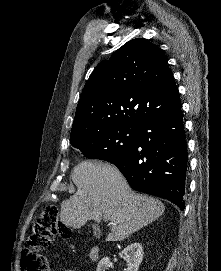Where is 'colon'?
<instances>
[{
  "mask_svg": "<svg viewBox=\"0 0 221 271\" xmlns=\"http://www.w3.org/2000/svg\"><path fill=\"white\" fill-rule=\"evenodd\" d=\"M56 234L63 237L71 235L69 227L62 225L56 205H46L34 220L32 235L20 253L21 271H51L49 260L43 250L53 241Z\"/></svg>",
  "mask_w": 221,
  "mask_h": 271,
  "instance_id": "colon-1",
  "label": "colon"
}]
</instances>
